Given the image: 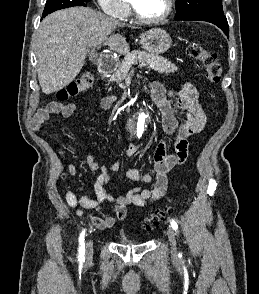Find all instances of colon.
I'll list each match as a JSON object with an SVG mask.
<instances>
[{
    "label": "colon",
    "instance_id": "obj_1",
    "mask_svg": "<svg viewBox=\"0 0 259 294\" xmlns=\"http://www.w3.org/2000/svg\"><path fill=\"white\" fill-rule=\"evenodd\" d=\"M188 53L193 58L202 62L206 71V79L212 85H217L221 80L222 66L218 60L216 53L208 51L203 47L193 44L188 48ZM94 81L91 72H85L78 78L72 81L64 90L58 93L59 100H67L68 98L75 97L85 90L89 89ZM172 211V207L166 205L151 215L145 221V227L150 230L153 226L158 225L165 219L166 215Z\"/></svg>",
    "mask_w": 259,
    "mask_h": 294
}]
</instances>
